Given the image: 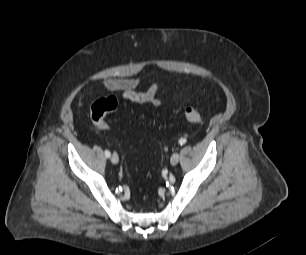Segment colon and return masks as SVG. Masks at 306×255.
<instances>
[{
  "instance_id": "5ec220e1",
  "label": "colon",
  "mask_w": 306,
  "mask_h": 255,
  "mask_svg": "<svg viewBox=\"0 0 306 255\" xmlns=\"http://www.w3.org/2000/svg\"><path fill=\"white\" fill-rule=\"evenodd\" d=\"M118 100L113 96L103 97L96 100L90 109V118L92 122L101 129L108 130L110 127L105 121V116L108 113L118 109ZM185 118L192 124L200 125L202 116L194 107H187L184 111Z\"/></svg>"
}]
</instances>
